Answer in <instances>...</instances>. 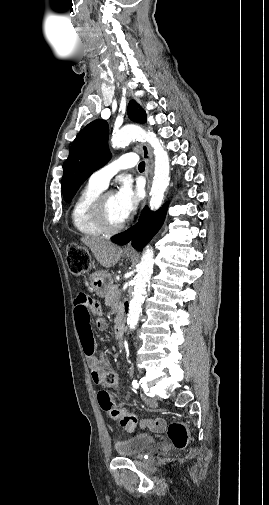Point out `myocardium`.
Here are the masks:
<instances>
[{"mask_svg":"<svg viewBox=\"0 0 269 505\" xmlns=\"http://www.w3.org/2000/svg\"><path fill=\"white\" fill-rule=\"evenodd\" d=\"M109 194L110 192L101 193L96 198L92 206V214L95 222L105 233L113 234L121 231L125 227L126 222L123 221L116 225L110 223L105 209V199Z\"/></svg>","mask_w":269,"mask_h":505,"instance_id":"1","label":"myocardium"}]
</instances>
